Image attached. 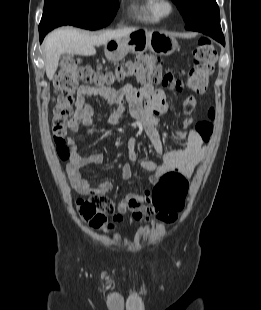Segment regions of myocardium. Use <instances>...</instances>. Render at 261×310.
I'll return each instance as SVG.
<instances>
[{
	"instance_id": "obj_1",
	"label": "myocardium",
	"mask_w": 261,
	"mask_h": 310,
	"mask_svg": "<svg viewBox=\"0 0 261 310\" xmlns=\"http://www.w3.org/2000/svg\"><path fill=\"white\" fill-rule=\"evenodd\" d=\"M159 11L163 16H169L174 11V3L171 0H158Z\"/></svg>"
}]
</instances>
